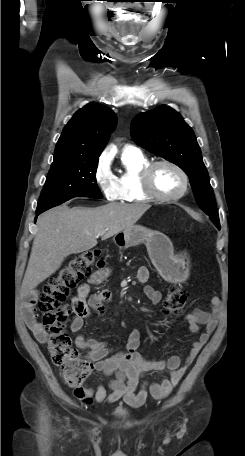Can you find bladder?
<instances>
[{
	"label": "bladder",
	"mask_w": 245,
	"mask_h": 456,
	"mask_svg": "<svg viewBox=\"0 0 245 456\" xmlns=\"http://www.w3.org/2000/svg\"><path fill=\"white\" fill-rule=\"evenodd\" d=\"M115 413H116L117 415H120V416H121V415H124V414H125V411H124L123 409H117V410L115 411Z\"/></svg>",
	"instance_id": "bladder-1"
}]
</instances>
